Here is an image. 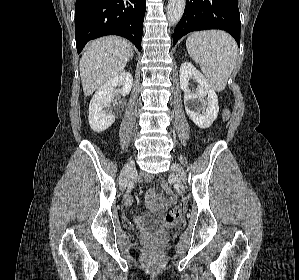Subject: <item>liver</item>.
Instances as JSON below:
<instances>
[{"instance_id":"obj_1","label":"liver","mask_w":299,"mask_h":280,"mask_svg":"<svg viewBox=\"0 0 299 280\" xmlns=\"http://www.w3.org/2000/svg\"><path fill=\"white\" fill-rule=\"evenodd\" d=\"M130 43L115 36L92 41L80 60V77L85 96L119 75L132 54Z\"/></svg>"}]
</instances>
